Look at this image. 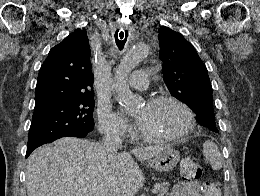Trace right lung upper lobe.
Wrapping results in <instances>:
<instances>
[{
    "label": "right lung upper lobe",
    "instance_id": "obj_1",
    "mask_svg": "<svg viewBox=\"0 0 260 196\" xmlns=\"http://www.w3.org/2000/svg\"><path fill=\"white\" fill-rule=\"evenodd\" d=\"M91 68L87 33L77 29L50 50L38 75L35 105L58 96L94 93Z\"/></svg>",
    "mask_w": 260,
    "mask_h": 196
}]
</instances>
